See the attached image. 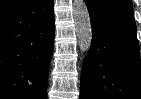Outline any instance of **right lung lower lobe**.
<instances>
[{"mask_svg": "<svg viewBox=\"0 0 141 99\" xmlns=\"http://www.w3.org/2000/svg\"><path fill=\"white\" fill-rule=\"evenodd\" d=\"M54 27L53 0L0 10V99H46Z\"/></svg>", "mask_w": 141, "mask_h": 99, "instance_id": "right-lung-lower-lobe-1", "label": "right lung lower lobe"}]
</instances>
